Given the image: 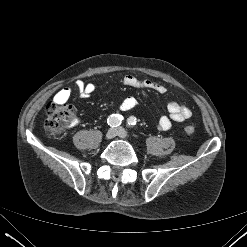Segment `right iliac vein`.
<instances>
[{
	"mask_svg": "<svg viewBox=\"0 0 247 247\" xmlns=\"http://www.w3.org/2000/svg\"><path fill=\"white\" fill-rule=\"evenodd\" d=\"M115 136H116V129L114 128H110L105 135L106 139L108 140L113 139Z\"/></svg>",
	"mask_w": 247,
	"mask_h": 247,
	"instance_id": "1",
	"label": "right iliac vein"
}]
</instances>
